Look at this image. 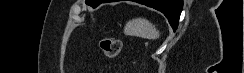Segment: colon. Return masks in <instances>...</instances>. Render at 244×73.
I'll return each instance as SVG.
<instances>
[{
	"mask_svg": "<svg viewBox=\"0 0 244 73\" xmlns=\"http://www.w3.org/2000/svg\"><path fill=\"white\" fill-rule=\"evenodd\" d=\"M100 49L108 57H116L121 51V41L115 37H104L100 40Z\"/></svg>",
	"mask_w": 244,
	"mask_h": 73,
	"instance_id": "obj_1",
	"label": "colon"
}]
</instances>
